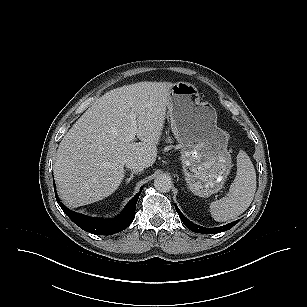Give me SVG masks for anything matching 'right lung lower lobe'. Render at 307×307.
I'll return each instance as SVG.
<instances>
[{"mask_svg":"<svg viewBox=\"0 0 307 307\" xmlns=\"http://www.w3.org/2000/svg\"><path fill=\"white\" fill-rule=\"evenodd\" d=\"M141 191L142 188L140 192L131 199L124 211L113 219H98L85 216L83 214L73 212L61 204L59 205L64 213L84 231L97 235H110L126 229L132 223L135 218L136 203ZM55 196L57 202L59 203L60 200L57 194H55Z\"/></svg>","mask_w":307,"mask_h":307,"instance_id":"1","label":"right lung lower lobe"}]
</instances>
